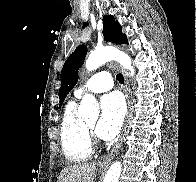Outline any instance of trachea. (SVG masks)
<instances>
[{
    "label": "trachea",
    "mask_w": 196,
    "mask_h": 182,
    "mask_svg": "<svg viewBox=\"0 0 196 182\" xmlns=\"http://www.w3.org/2000/svg\"><path fill=\"white\" fill-rule=\"evenodd\" d=\"M117 80L119 81V83H123L124 82V77L121 73L117 74Z\"/></svg>",
    "instance_id": "trachea-1"
}]
</instances>
